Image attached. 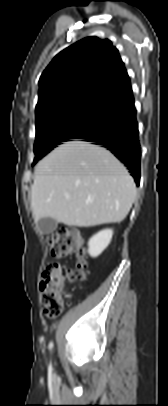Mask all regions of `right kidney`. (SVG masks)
Returning <instances> with one entry per match:
<instances>
[{
	"mask_svg": "<svg viewBox=\"0 0 168 406\" xmlns=\"http://www.w3.org/2000/svg\"><path fill=\"white\" fill-rule=\"evenodd\" d=\"M112 236V229H105L95 234L88 242L90 256L100 255L111 242Z\"/></svg>",
	"mask_w": 168,
	"mask_h": 406,
	"instance_id": "right-kidney-1",
	"label": "right kidney"
}]
</instances>
